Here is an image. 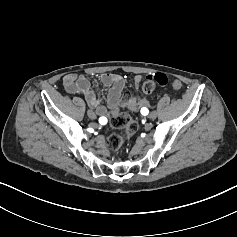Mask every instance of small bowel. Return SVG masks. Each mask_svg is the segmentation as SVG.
I'll return each mask as SVG.
<instances>
[{
    "label": "small bowel",
    "mask_w": 237,
    "mask_h": 237,
    "mask_svg": "<svg viewBox=\"0 0 237 237\" xmlns=\"http://www.w3.org/2000/svg\"><path fill=\"white\" fill-rule=\"evenodd\" d=\"M141 81V76L134 78L136 86ZM100 82L109 89L105 98L99 95L98 86L92 84L86 77L78 74H67L63 78V86L70 94L84 95L88 101L91 111L97 116H105L117 110L120 105L127 106L131 110H139L142 106L147 105L148 101L144 98L122 96L124 80L121 76L113 73H104L100 76ZM174 88L180 87V82H172Z\"/></svg>",
    "instance_id": "c3829d8e"
}]
</instances>
